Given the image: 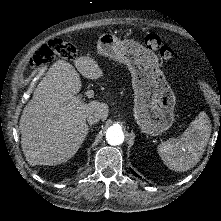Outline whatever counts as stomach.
Here are the masks:
<instances>
[{
	"instance_id": "obj_1",
	"label": "stomach",
	"mask_w": 221,
	"mask_h": 221,
	"mask_svg": "<svg viewBox=\"0 0 221 221\" xmlns=\"http://www.w3.org/2000/svg\"><path fill=\"white\" fill-rule=\"evenodd\" d=\"M100 55L126 63L132 74L134 116L145 133L158 135L172 126L175 95L153 61V54L131 40L102 33L96 42Z\"/></svg>"
}]
</instances>
